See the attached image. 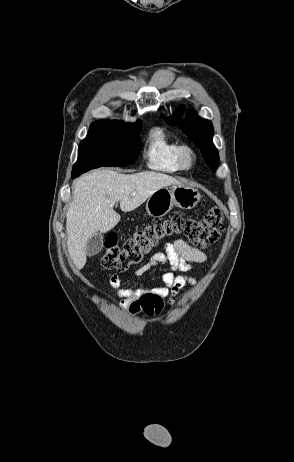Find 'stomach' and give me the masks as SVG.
<instances>
[{
  "instance_id": "1",
  "label": "stomach",
  "mask_w": 294,
  "mask_h": 462,
  "mask_svg": "<svg viewBox=\"0 0 294 462\" xmlns=\"http://www.w3.org/2000/svg\"><path fill=\"white\" fill-rule=\"evenodd\" d=\"M199 191L183 184L166 186L156 190L146 202V212L149 216L159 218L165 216L174 206L182 209H192L200 201Z\"/></svg>"
}]
</instances>
